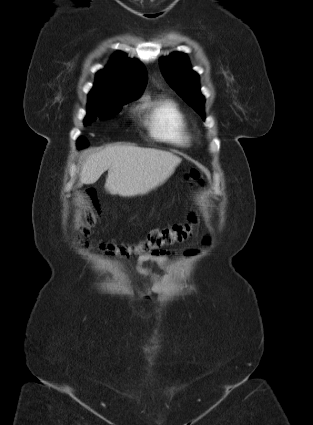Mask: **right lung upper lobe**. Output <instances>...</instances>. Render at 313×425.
Returning a JSON list of instances; mask_svg holds the SVG:
<instances>
[{
  "label": "right lung upper lobe",
  "mask_w": 313,
  "mask_h": 425,
  "mask_svg": "<svg viewBox=\"0 0 313 425\" xmlns=\"http://www.w3.org/2000/svg\"><path fill=\"white\" fill-rule=\"evenodd\" d=\"M146 83L147 71L142 63L117 52L106 68L97 72L88 102L111 96H124L135 100L143 92Z\"/></svg>",
  "instance_id": "1"
}]
</instances>
